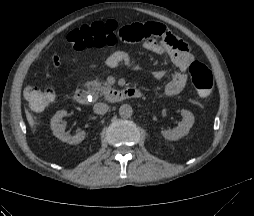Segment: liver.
Instances as JSON below:
<instances>
[{
    "instance_id": "liver-1",
    "label": "liver",
    "mask_w": 254,
    "mask_h": 216,
    "mask_svg": "<svg viewBox=\"0 0 254 216\" xmlns=\"http://www.w3.org/2000/svg\"><path fill=\"white\" fill-rule=\"evenodd\" d=\"M26 117L28 120L29 125L31 126V128H34L35 122L33 117L31 116V114L29 112H26Z\"/></svg>"
}]
</instances>
